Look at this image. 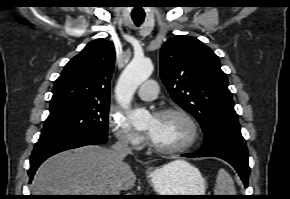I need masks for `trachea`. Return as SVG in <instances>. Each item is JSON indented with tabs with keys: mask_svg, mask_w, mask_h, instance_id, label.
Masks as SVG:
<instances>
[{
	"mask_svg": "<svg viewBox=\"0 0 290 199\" xmlns=\"http://www.w3.org/2000/svg\"><path fill=\"white\" fill-rule=\"evenodd\" d=\"M132 19H133V21H134V23L137 25V26H139L140 24H142V22L144 21V16L142 15V16H140V15H136V16H132Z\"/></svg>",
	"mask_w": 290,
	"mask_h": 199,
	"instance_id": "trachea-1",
	"label": "trachea"
}]
</instances>
